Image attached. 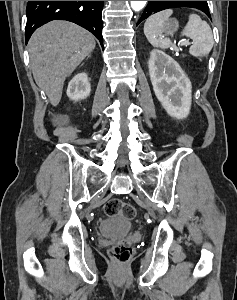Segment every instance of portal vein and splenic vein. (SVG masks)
I'll use <instances>...</instances> for the list:
<instances>
[{
    "instance_id": "portal-vein-and-splenic-vein-1",
    "label": "portal vein and splenic vein",
    "mask_w": 237,
    "mask_h": 300,
    "mask_svg": "<svg viewBox=\"0 0 237 300\" xmlns=\"http://www.w3.org/2000/svg\"><path fill=\"white\" fill-rule=\"evenodd\" d=\"M181 45H191V43L189 41H181Z\"/></svg>"
}]
</instances>
